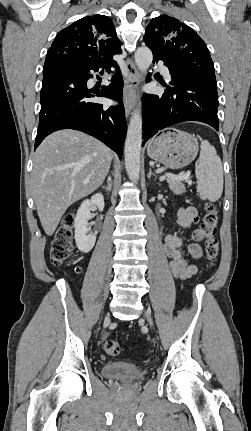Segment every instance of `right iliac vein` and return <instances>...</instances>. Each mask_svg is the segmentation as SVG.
Wrapping results in <instances>:
<instances>
[{"label": "right iliac vein", "mask_w": 251, "mask_h": 431, "mask_svg": "<svg viewBox=\"0 0 251 431\" xmlns=\"http://www.w3.org/2000/svg\"><path fill=\"white\" fill-rule=\"evenodd\" d=\"M105 323H106V324H109V323H110V316H107V317L105 318Z\"/></svg>", "instance_id": "63e3f726"}]
</instances>
